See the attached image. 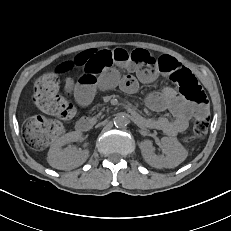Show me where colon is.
<instances>
[{
	"mask_svg": "<svg viewBox=\"0 0 231 231\" xmlns=\"http://www.w3.org/2000/svg\"><path fill=\"white\" fill-rule=\"evenodd\" d=\"M140 54L139 49L133 50L129 57L135 60ZM65 71L60 64L42 75L34 85L33 102L46 116H35L26 126L25 138L33 149L40 150L49 146L61 133L62 121L70 119L74 114L72 104L58 93L60 77ZM171 79L178 85L184 96L200 103H206V96L192 74L177 71ZM208 127L207 117L197 120L185 141L190 142L202 138L207 133Z\"/></svg>",
	"mask_w": 231,
	"mask_h": 231,
	"instance_id": "obj_1",
	"label": "colon"
}]
</instances>
